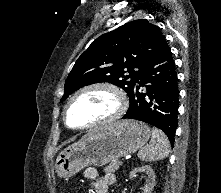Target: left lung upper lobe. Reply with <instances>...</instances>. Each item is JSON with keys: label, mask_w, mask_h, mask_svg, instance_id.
<instances>
[{"label": "left lung upper lobe", "mask_w": 221, "mask_h": 193, "mask_svg": "<svg viewBox=\"0 0 221 193\" xmlns=\"http://www.w3.org/2000/svg\"><path fill=\"white\" fill-rule=\"evenodd\" d=\"M167 44L160 28L139 19L94 40L78 58L64 86V101L81 87L109 82L131 95L138 75Z\"/></svg>", "instance_id": "obj_1"}]
</instances>
